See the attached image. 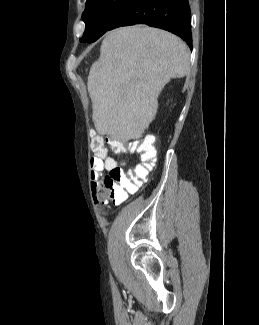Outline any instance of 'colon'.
Masks as SVG:
<instances>
[{
    "instance_id": "colon-1",
    "label": "colon",
    "mask_w": 259,
    "mask_h": 325,
    "mask_svg": "<svg viewBox=\"0 0 259 325\" xmlns=\"http://www.w3.org/2000/svg\"><path fill=\"white\" fill-rule=\"evenodd\" d=\"M106 142L111 145L115 153L131 151L138 153L141 158L138 165L127 171L119 166L112 167L103 179L100 197L106 202L112 201L119 204L126 199L128 193L136 192L147 181L148 174L156 161V140L152 135H148L127 144L94 134L91 136L90 148L101 160L107 156Z\"/></svg>"
}]
</instances>
